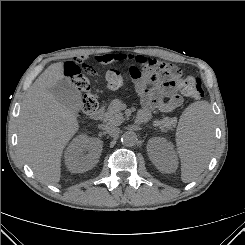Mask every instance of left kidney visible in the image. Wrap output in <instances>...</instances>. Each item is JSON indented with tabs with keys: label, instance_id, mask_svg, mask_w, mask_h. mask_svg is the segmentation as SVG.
<instances>
[{
	"label": "left kidney",
	"instance_id": "obj_1",
	"mask_svg": "<svg viewBox=\"0 0 245 245\" xmlns=\"http://www.w3.org/2000/svg\"><path fill=\"white\" fill-rule=\"evenodd\" d=\"M150 160L161 172H174L178 161L173 145L164 138H151L147 144Z\"/></svg>",
	"mask_w": 245,
	"mask_h": 245
}]
</instances>
